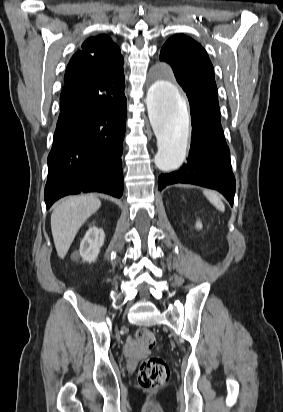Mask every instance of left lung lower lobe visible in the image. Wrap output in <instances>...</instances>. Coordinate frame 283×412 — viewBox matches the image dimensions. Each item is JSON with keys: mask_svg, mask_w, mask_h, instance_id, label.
I'll list each match as a JSON object with an SVG mask.
<instances>
[{"mask_svg": "<svg viewBox=\"0 0 283 412\" xmlns=\"http://www.w3.org/2000/svg\"><path fill=\"white\" fill-rule=\"evenodd\" d=\"M187 96L192 117L190 157L179 170L160 175L158 189L175 183L199 185L219 191L232 206L236 184L220 122V108L191 93Z\"/></svg>", "mask_w": 283, "mask_h": 412, "instance_id": "left-lung-lower-lobe-1", "label": "left lung lower lobe"}]
</instances>
